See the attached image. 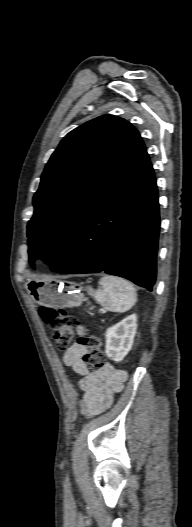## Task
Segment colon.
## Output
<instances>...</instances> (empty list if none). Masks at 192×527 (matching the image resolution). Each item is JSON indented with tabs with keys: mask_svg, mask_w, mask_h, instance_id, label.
Instances as JSON below:
<instances>
[{
	"mask_svg": "<svg viewBox=\"0 0 192 527\" xmlns=\"http://www.w3.org/2000/svg\"><path fill=\"white\" fill-rule=\"evenodd\" d=\"M39 314L42 320L49 326L53 339L59 349H66L74 339V328L77 319L65 310L41 306ZM77 343L86 348L83 356L85 364L93 369L104 366L105 356L101 350V340L93 334H87L78 338Z\"/></svg>",
	"mask_w": 192,
	"mask_h": 527,
	"instance_id": "obj_1",
	"label": "colon"
}]
</instances>
